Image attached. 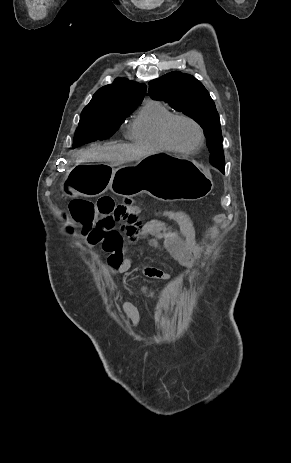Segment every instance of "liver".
Listing matches in <instances>:
<instances>
[{
    "label": "liver",
    "instance_id": "1",
    "mask_svg": "<svg viewBox=\"0 0 291 463\" xmlns=\"http://www.w3.org/2000/svg\"><path fill=\"white\" fill-rule=\"evenodd\" d=\"M155 153V149L145 146L107 144L92 146L81 151L77 163L110 162L112 166H117L125 162L141 160Z\"/></svg>",
    "mask_w": 291,
    "mask_h": 463
}]
</instances>
